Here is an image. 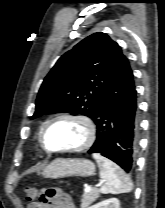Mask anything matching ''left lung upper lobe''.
Here are the masks:
<instances>
[{
	"mask_svg": "<svg viewBox=\"0 0 165 208\" xmlns=\"http://www.w3.org/2000/svg\"><path fill=\"white\" fill-rule=\"evenodd\" d=\"M127 58L105 33H94L62 55L45 77L32 118L71 112L94 119L106 90Z\"/></svg>",
	"mask_w": 165,
	"mask_h": 208,
	"instance_id": "obj_1",
	"label": "left lung upper lobe"
}]
</instances>
